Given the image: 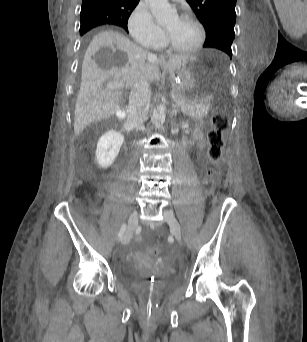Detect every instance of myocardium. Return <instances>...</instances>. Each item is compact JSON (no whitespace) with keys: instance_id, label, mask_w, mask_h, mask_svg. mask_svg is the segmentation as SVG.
Here are the masks:
<instances>
[{"instance_id":"f54148a6","label":"myocardium","mask_w":307,"mask_h":342,"mask_svg":"<svg viewBox=\"0 0 307 342\" xmlns=\"http://www.w3.org/2000/svg\"><path fill=\"white\" fill-rule=\"evenodd\" d=\"M179 20L184 21V22H189L193 24L199 33V38L197 42L190 48L184 49V50H174L168 46L167 39H165L163 45H162V50L165 51L166 53H169L171 55H176V56H183V55H190L193 53H196L199 51L206 43L207 39V32L205 25L201 20L194 16H183Z\"/></svg>"}]
</instances>
